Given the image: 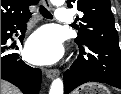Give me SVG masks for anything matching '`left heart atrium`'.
I'll return each instance as SVG.
<instances>
[{"mask_svg":"<svg viewBox=\"0 0 121 94\" xmlns=\"http://www.w3.org/2000/svg\"><path fill=\"white\" fill-rule=\"evenodd\" d=\"M63 54V46L58 33L51 27L36 31L25 47V57L34 64L56 62Z\"/></svg>","mask_w":121,"mask_h":94,"instance_id":"left-heart-atrium-1","label":"left heart atrium"}]
</instances>
